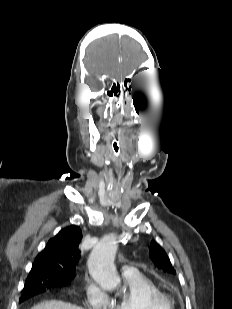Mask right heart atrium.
Here are the masks:
<instances>
[{
  "label": "right heart atrium",
  "mask_w": 232,
  "mask_h": 309,
  "mask_svg": "<svg viewBox=\"0 0 232 309\" xmlns=\"http://www.w3.org/2000/svg\"><path fill=\"white\" fill-rule=\"evenodd\" d=\"M85 289L87 301L93 309H108L109 298L98 284L89 280Z\"/></svg>",
  "instance_id": "obj_1"
}]
</instances>
